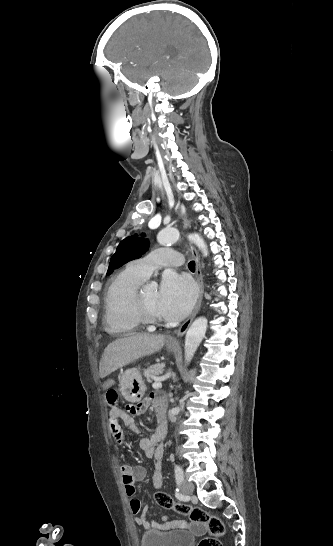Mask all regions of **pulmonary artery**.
I'll return each instance as SVG.
<instances>
[{
    "instance_id": "pulmonary-artery-1",
    "label": "pulmonary artery",
    "mask_w": 333,
    "mask_h": 546,
    "mask_svg": "<svg viewBox=\"0 0 333 546\" xmlns=\"http://www.w3.org/2000/svg\"><path fill=\"white\" fill-rule=\"evenodd\" d=\"M182 263L183 258L181 253L166 248H159L144 257L132 261L131 266L147 279L155 269L161 266H181Z\"/></svg>"
}]
</instances>
